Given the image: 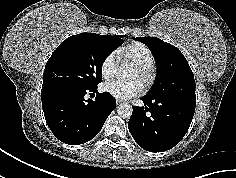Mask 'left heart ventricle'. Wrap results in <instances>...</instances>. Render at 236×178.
<instances>
[{
	"mask_svg": "<svg viewBox=\"0 0 236 178\" xmlns=\"http://www.w3.org/2000/svg\"><path fill=\"white\" fill-rule=\"evenodd\" d=\"M128 78L136 79L142 83L143 75L137 69L131 67L128 73Z\"/></svg>",
	"mask_w": 236,
	"mask_h": 178,
	"instance_id": "left-heart-ventricle-1",
	"label": "left heart ventricle"
}]
</instances>
